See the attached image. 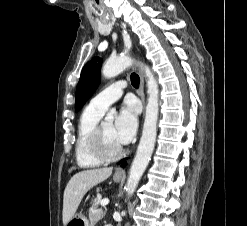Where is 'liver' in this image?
<instances>
[{
	"instance_id": "liver-1",
	"label": "liver",
	"mask_w": 247,
	"mask_h": 226,
	"mask_svg": "<svg viewBox=\"0 0 247 226\" xmlns=\"http://www.w3.org/2000/svg\"><path fill=\"white\" fill-rule=\"evenodd\" d=\"M112 174V167L83 170L76 173L68 182L63 198V224L75 215V212L88 190L106 180Z\"/></svg>"
}]
</instances>
